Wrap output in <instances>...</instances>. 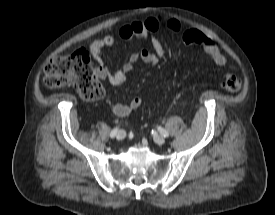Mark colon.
<instances>
[{"label":"colon","mask_w":275,"mask_h":215,"mask_svg":"<svg viewBox=\"0 0 275 215\" xmlns=\"http://www.w3.org/2000/svg\"><path fill=\"white\" fill-rule=\"evenodd\" d=\"M44 82L53 89L74 88L86 100H97L104 95V88L93 73L90 55L84 49L50 58L44 67ZM222 87L236 93L241 90L242 83L237 76L227 72Z\"/></svg>","instance_id":"1"}]
</instances>
